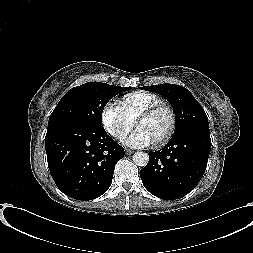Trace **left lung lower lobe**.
Wrapping results in <instances>:
<instances>
[{"label": "left lung lower lobe", "mask_w": 253, "mask_h": 253, "mask_svg": "<svg viewBox=\"0 0 253 253\" xmlns=\"http://www.w3.org/2000/svg\"><path fill=\"white\" fill-rule=\"evenodd\" d=\"M211 149L209 126L191 125L177 131L161 151L150 152L140 170L145 188L154 196L174 200L201 180Z\"/></svg>", "instance_id": "obj_1"}]
</instances>
